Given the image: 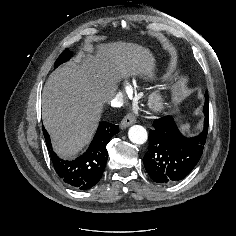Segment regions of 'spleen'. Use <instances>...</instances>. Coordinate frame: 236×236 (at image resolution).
Segmentation results:
<instances>
[{
    "label": "spleen",
    "mask_w": 236,
    "mask_h": 236,
    "mask_svg": "<svg viewBox=\"0 0 236 236\" xmlns=\"http://www.w3.org/2000/svg\"><path fill=\"white\" fill-rule=\"evenodd\" d=\"M189 128H190V125H189V124H185V125H182V126H181V129H182L183 131H189Z\"/></svg>",
    "instance_id": "1"
}]
</instances>
